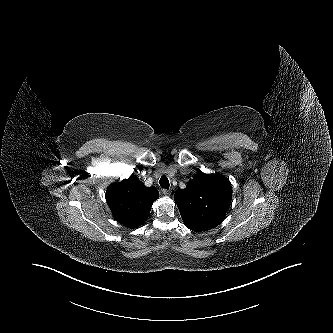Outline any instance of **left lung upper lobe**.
Instances as JSON below:
<instances>
[{
    "instance_id": "1",
    "label": "left lung upper lobe",
    "mask_w": 333,
    "mask_h": 333,
    "mask_svg": "<svg viewBox=\"0 0 333 333\" xmlns=\"http://www.w3.org/2000/svg\"><path fill=\"white\" fill-rule=\"evenodd\" d=\"M232 198L229 179L198 171L185 189L174 195L181 217L189 229L206 231L224 219Z\"/></svg>"
}]
</instances>
